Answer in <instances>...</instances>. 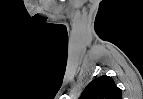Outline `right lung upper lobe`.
Instances as JSON below:
<instances>
[{
    "instance_id": "right-lung-upper-lobe-1",
    "label": "right lung upper lobe",
    "mask_w": 143,
    "mask_h": 99,
    "mask_svg": "<svg viewBox=\"0 0 143 99\" xmlns=\"http://www.w3.org/2000/svg\"><path fill=\"white\" fill-rule=\"evenodd\" d=\"M80 99H122V92L111 77L100 76L87 85Z\"/></svg>"
}]
</instances>
